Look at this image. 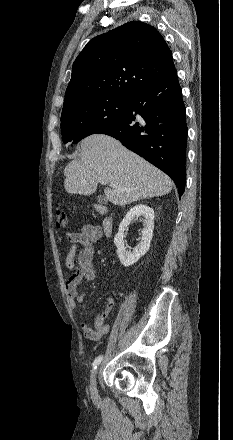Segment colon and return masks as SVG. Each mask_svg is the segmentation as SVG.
<instances>
[{
  "label": "colon",
  "instance_id": "1",
  "mask_svg": "<svg viewBox=\"0 0 233 440\" xmlns=\"http://www.w3.org/2000/svg\"><path fill=\"white\" fill-rule=\"evenodd\" d=\"M55 225L58 228H64L67 226L66 214L61 207L55 209Z\"/></svg>",
  "mask_w": 233,
  "mask_h": 440
}]
</instances>
